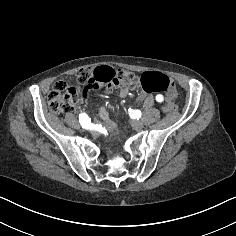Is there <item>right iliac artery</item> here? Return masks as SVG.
Instances as JSON below:
<instances>
[{
	"label": "right iliac artery",
	"instance_id": "82829eb1",
	"mask_svg": "<svg viewBox=\"0 0 236 236\" xmlns=\"http://www.w3.org/2000/svg\"><path fill=\"white\" fill-rule=\"evenodd\" d=\"M79 122L84 129H89L91 126V119L85 113L79 114Z\"/></svg>",
	"mask_w": 236,
	"mask_h": 236
}]
</instances>
